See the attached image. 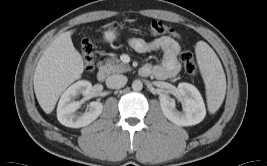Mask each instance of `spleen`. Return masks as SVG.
I'll return each mask as SVG.
<instances>
[{"label":"spleen","mask_w":267,"mask_h":166,"mask_svg":"<svg viewBox=\"0 0 267 166\" xmlns=\"http://www.w3.org/2000/svg\"><path fill=\"white\" fill-rule=\"evenodd\" d=\"M196 53L206 87L208 110L210 113H215L225 98V73L217 55L205 42H198Z\"/></svg>","instance_id":"1"}]
</instances>
